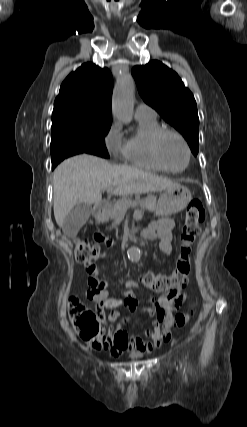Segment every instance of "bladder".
<instances>
[{
	"mask_svg": "<svg viewBox=\"0 0 247 427\" xmlns=\"http://www.w3.org/2000/svg\"><path fill=\"white\" fill-rule=\"evenodd\" d=\"M129 357H130L131 359H133V360H137V359L142 358V357H143V354H142L141 352H134V353H131V354L129 355Z\"/></svg>",
	"mask_w": 247,
	"mask_h": 427,
	"instance_id": "31cf9c89",
	"label": "bladder"
}]
</instances>
